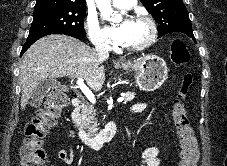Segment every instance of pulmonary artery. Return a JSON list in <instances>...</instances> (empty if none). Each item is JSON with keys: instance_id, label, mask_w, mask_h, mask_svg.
I'll list each match as a JSON object with an SVG mask.
<instances>
[{"instance_id": "e3ab8cb5", "label": "pulmonary artery", "mask_w": 227, "mask_h": 166, "mask_svg": "<svg viewBox=\"0 0 227 166\" xmlns=\"http://www.w3.org/2000/svg\"><path fill=\"white\" fill-rule=\"evenodd\" d=\"M137 0H112L114 7L119 9H130L132 8Z\"/></svg>"}]
</instances>
